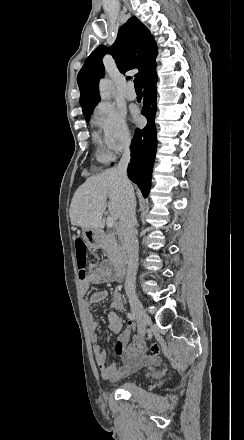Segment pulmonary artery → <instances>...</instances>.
<instances>
[{"label": "pulmonary artery", "mask_w": 244, "mask_h": 440, "mask_svg": "<svg viewBox=\"0 0 244 440\" xmlns=\"http://www.w3.org/2000/svg\"><path fill=\"white\" fill-rule=\"evenodd\" d=\"M125 97H126V99H128L130 101L135 100L136 94H135V90H134V85L132 83H129L127 85Z\"/></svg>", "instance_id": "obj_1"}]
</instances>
